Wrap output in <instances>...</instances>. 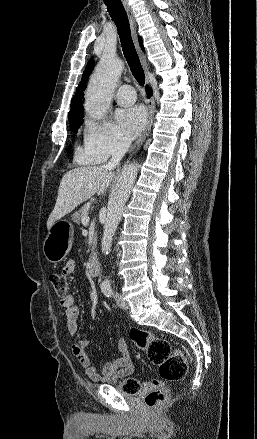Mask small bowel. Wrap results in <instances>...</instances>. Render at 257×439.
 Returning a JSON list of instances; mask_svg holds the SVG:
<instances>
[{"mask_svg":"<svg viewBox=\"0 0 257 439\" xmlns=\"http://www.w3.org/2000/svg\"><path fill=\"white\" fill-rule=\"evenodd\" d=\"M75 264L73 261H67L63 268L62 274L68 276L73 274ZM61 306L65 309L66 328L68 335L74 340L72 349L85 370L86 375L93 381H101L106 383H116L120 379L131 375L135 370V365L130 355L127 343L121 338L117 343L118 358L103 365L101 372H98L92 363L88 353V341L80 339L78 332L79 307L75 304L73 295H67L60 301Z\"/></svg>","mask_w":257,"mask_h":439,"instance_id":"obj_1","label":"small bowel"}]
</instances>
